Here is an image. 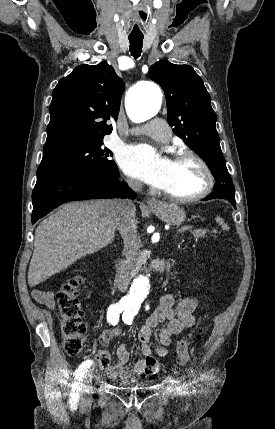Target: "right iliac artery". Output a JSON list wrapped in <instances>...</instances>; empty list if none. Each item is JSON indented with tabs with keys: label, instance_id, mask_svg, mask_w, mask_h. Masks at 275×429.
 Masks as SVG:
<instances>
[{
	"label": "right iliac artery",
	"instance_id": "right-iliac-artery-1",
	"mask_svg": "<svg viewBox=\"0 0 275 429\" xmlns=\"http://www.w3.org/2000/svg\"><path fill=\"white\" fill-rule=\"evenodd\" d=\"M124 309H125V305L120 302L110 305L107 311V321L112 325H116L119 321V316ZM92 364H93L92 360L84 361L79 365L78 369L75 372V380H74L72 392L70 395L71 396L70 403L72 406H75L76 403L78 402L80 381H82L85 373L88 371V369L91 367Z\"/></svg>",
	"mask_w": 275,
	"mask_h": 429
}]
</instances>
